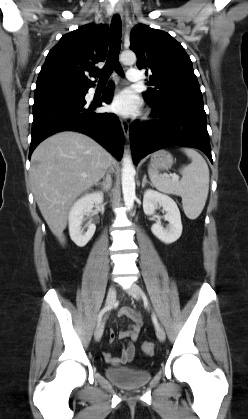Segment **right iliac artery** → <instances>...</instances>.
I'll return each mask as SVG.
<instances>
[{
    "label": "right iliac artery",
    "mask_w": 248,
    "mask_h": 419,
    "mask_svg": "<svg viewBox=\"0 0 248 419\" xmlns=\"http://www.w3.org/2000/svg\"><path fill=\"white\" fill-rule=\"evenodd\" d=\"M109 309H110L109 307H105V308H103V309L100 311V313H99V315H98V323L101 321L102 316L104 315V313H105L107 310H109Z\"/></svg>",
    "instance_id": "right-iliac-artery-1"
}]
</instances>
